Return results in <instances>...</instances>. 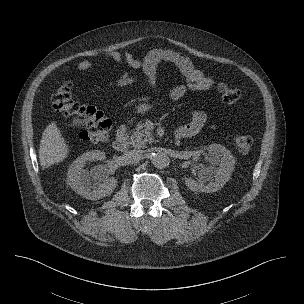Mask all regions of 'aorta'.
<instances>
[{"label":"aorta","instance_id":"aorta-1","mask_svg":"<svg viewBox=\"0 0 304 304\" xmlns=\"http://www.w3.org/2000/svg\"><path fill=\"white\" fill-rule=\"evenodd\" d=\"M151 161L153 165L158 169L166 168L170 163V158L163 152L155 153Z\"/></svg>","mask_w":304,"mask_h":304}]
</instances>
